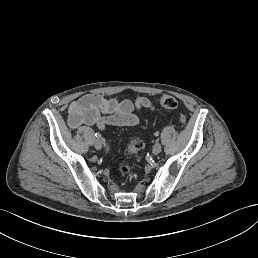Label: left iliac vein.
<instances>
[{
	"label": "left iliac vein",
	"mask_w": 258,
	"mask_h": 258,
	"mask_svg": "<svg viewBox=\"0 0 258 258\" xmlns=\"http://www.w3.org/2000/svg\"><path fill=\"white\" fill-rule=\"evenodd\" d=\"M153 147H154V148L152 149L151 152H152L153 155L156 156V155H158L159 152L161 151V149H162L161 147H162V146H161L160 142H155V144H154Z\"/></svg>",
	"instance_id": "obj_1"
}]
</instances>
